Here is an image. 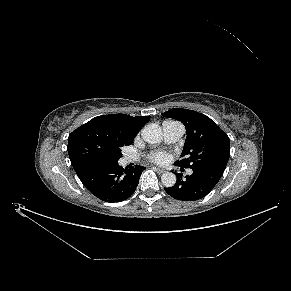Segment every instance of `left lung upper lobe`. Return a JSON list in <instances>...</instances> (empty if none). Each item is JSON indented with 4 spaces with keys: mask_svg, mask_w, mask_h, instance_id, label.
I'll list each match as a JSON object with an SVG mask.
<instances>
[{
    "mask_svg": "<svg viewBox=\"0 0 291 291\" xmlns=\"http://www.w3.org/2000/svg\"><path fill=\"white\" fill-rule=\"evenodd\" d=\"M162 115L183 122L186 128L182 159L176 161V165L191 169L199 166L226 167L230 157L229 137L209 117L182 108H173Z\"/></svg>",
    "mask_w": 291,
    "mask_h": 291,
    "instance_id": "1",
    "label": "left lung upper lobe"
}]
</instances>
